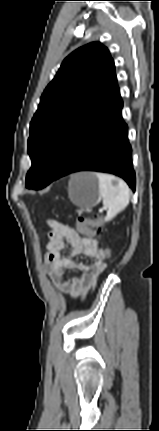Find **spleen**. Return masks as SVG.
<instances>
[{"label":"spleen","instance_id":"obj_1","mask_svg":"<svg viewBox=\"0 0 159 431\" xmlns=\"http://www.w3.org/2000/svg\"><path fill=\"white\" fill-rule=\"evenodd\" d=\"M99 181V192L107 210L105 222L111 221L128 205L130 190L127 184L113 175L95 173Z\"/></svg>","mask_w":159,"mask_h":431}]
</instances>
